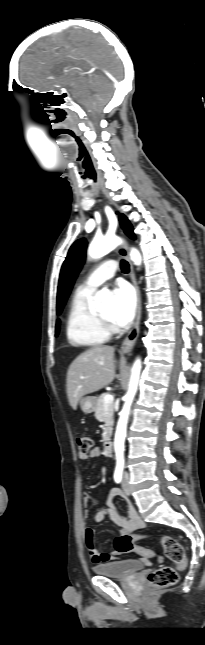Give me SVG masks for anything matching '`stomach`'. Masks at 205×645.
<instances>
[{
  "mask_svg": "<svg viewBox=\"0 0 205 645\" xmlns=\"http://www.w3.org/2000/svg\"><path fill=\"white\" fill-rule=\"evenodd\" d=\"M96 404L97 399L93 396H87L80 400V408L86 414L92 413L95 410Z\"/></svg>",
  "mask_w": 205,
  "mask_h": 645,
  "instance_id": "stomach-1",
  "label": "stomach"
}]
</instances>
